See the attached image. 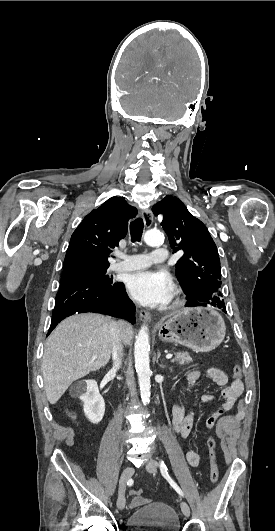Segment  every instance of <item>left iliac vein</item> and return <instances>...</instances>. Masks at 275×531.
Returning <instances> with one entry per match:
<instances>
[{
	"label": "left iliac vein",
	"mask_w": 275,
	"mask_h": 531,
	"mask_svg": "<svg viewBox=\"0 0 275 531\" xmlns=\"http://www.w3.org/2000/svg\"><path fill=\"white\" fill-rule=\"evenodd\" d=\"M158 467H159V463L152 459H150L146 464V469L148 470L149 473L153 475L157 474ZM181 510L186 517L190 516V507L185 501L181 502Z\"/></svg>",
	"instance_id": "1"
}]
</instances>
